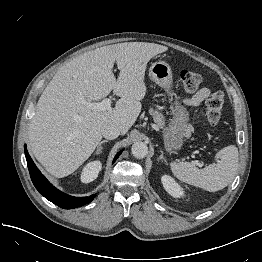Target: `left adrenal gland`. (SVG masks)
Returning a JSON list of instances; mask_svg holds the SVG:
<instances>
[{"label":"left adrenal gland","instance_id":"a2214340","mask_svg":"<svg viewBox=\"0 0 262 262\" xmlns=\"http://www.w3.org/2000/svg\"><path fill=\"white\" fill-rule=\"evenodd\" d=\"M160 153H161V154H160L158 160H163V161L167 164V160H166V158H165L164 155H163V151L160 150Z\"/></svg>","mask_w":262,"mask_h":262}]
</instances>
